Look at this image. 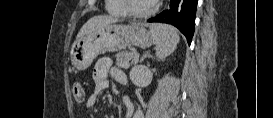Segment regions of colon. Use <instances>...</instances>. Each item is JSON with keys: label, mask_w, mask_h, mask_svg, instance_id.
<instances>
[{"label": "colon", "mask_w": 273, "mask_h": 118, "mask_svg": "<svg viewBox=\"0 0 273 118\" xmlns=\"http://www.w3.org/2000/svg\"><path fill=\"white\" fill-rule=\"evenodd\" d=\"M72 96L74 101L81 103L85 98L84 88L80 82H75L72 86Z\"/></svg>", "instance_id": "5ec220e1"}]
</instances>
